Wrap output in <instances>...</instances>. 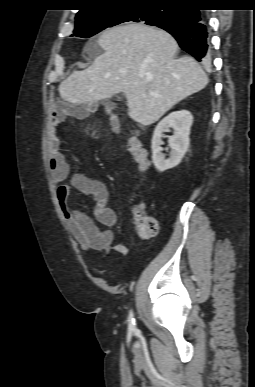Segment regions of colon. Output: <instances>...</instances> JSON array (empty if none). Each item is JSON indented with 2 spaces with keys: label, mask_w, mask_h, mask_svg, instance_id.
Here are the masks:
<instances>
[{
  "label": "colon",
  "mask_w": 255,
  "mask_h": 387,
  "mask_svg": "<svg viewBox=\"0 0 255 387\" xmlns=\"http://www.w3.org/2000/svg\"><path fill=\"white\" fill-rule=\"evenodd\" d=\"M128 151L133 155L140 169L144 172L150 168V161L146 150L136 137H130L126 143ZM133 224L137 234L141 238L153 237L158 232V221L155 217L147 215L142 205H136L133 209Z\"/></svg>",
  "instance_id": "5ec220e1"
}]
</instances>
